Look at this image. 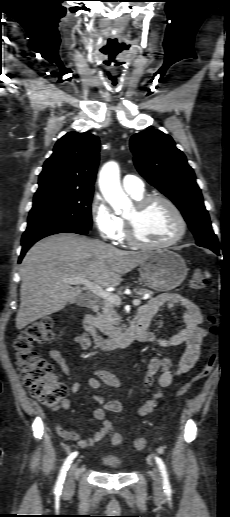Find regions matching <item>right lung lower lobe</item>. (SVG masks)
<instances>
[{
    "label": "right lung lower lobe",
    "instance_id": "1",
    "mask_svg": "<svg viewBox=\"0 0 230 517\" xmlns=\"http://www.w3.org/2000/svg\"><path fill=\"white\" fill-rule=\"evenodd\" d=\"M64 232H71V233H77L81 235H85L88 232V229L76 227L64 223H58V224H49V225H42L30 229H26L22 236V251L21 255L19 257V263L21 262L23 256L27 252V250L38 240L57 233H64Z\"/></svg>",
    "mask_w": 230,
    "mask_h": 517
}]
</instances>
